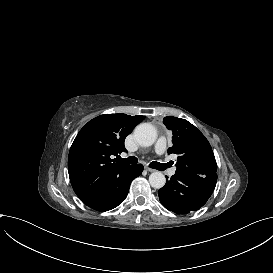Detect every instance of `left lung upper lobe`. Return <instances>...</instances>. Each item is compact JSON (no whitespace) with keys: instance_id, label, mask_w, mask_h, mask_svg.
Masks as SVG:
<instances>
[{"instance_id":"obj_1","label":"left lung upper lobe","mask_w":273,"mask_h":273,"mask_svg":"<svg viewBox=\"0 0 273 273\" xmlns=\"http://www.w3.org/2000/svg\"><path fill=\"white\" fill-rule=\"evenodd\" d=\"M167 129L173 132V146L168 154H176V172L208 176L216 174L217 164L206 137L185 119L167 116L163 118Z\"/></svg>"}]
</instances>
